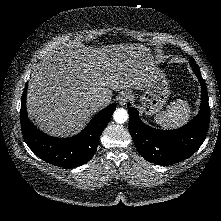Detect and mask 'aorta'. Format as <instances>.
Listing matches in <instances>:
<instances>
[{
	"label": "aorta",
	"instance_id": "762f6f07",
	"mask_svg": "<svg viewBox=\"0 0 221 221\" xmlns=\"http://www.w3.org/2000/svg\"><path fill=\"white\" fill-rule=\"evenodd\" d=\"M116 123H125L128 119V112L123 108H118L113 114Z\"/></svg>",
	"mask_w": 221,
	"mask_h": 221
}]
</instances>
